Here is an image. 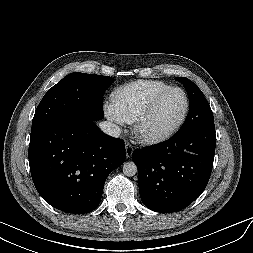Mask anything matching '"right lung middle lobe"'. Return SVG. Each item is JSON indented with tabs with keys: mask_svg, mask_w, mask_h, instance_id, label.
Here are the masks:
<instances>
[{
	"mask_svg": "<svg viewBox=\"0 0 253 253\" xmlns=\"http://www.w3.org/2000/svg\"><path fill=\"white\" fill-rule=\"evenodd\" d=\"M111 83L112 78L108 76L68 74L42 98L33 117L32 130L69 118L102 119V97Z\"/></svg>",
	"mask_w": 253,
	"mask_h": 253,
	"instance_id": "dd1d6c3e",
	"label": "right lung middle lobe"
}]
</instances>
